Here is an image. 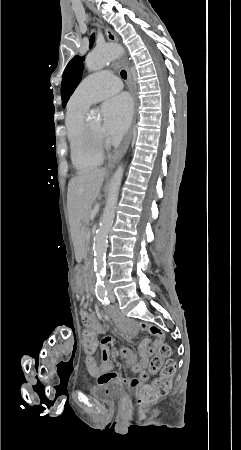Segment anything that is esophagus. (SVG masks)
Here are the masks:
<instances>
[{
	"instance_id": "esophagus-1",
	"label": "esophagus",
	"mask_w": 241,
	"mask_h": 450,
	"mask_svg": "<svg viewBox=\"0 0 241 450\" xmlns=\"http://www.w3.org/2000/svg\"><path fill=\"white\" fill-rule=\"evenodd\" d=\"M105 32H106L107 39L109 41H117V37L114 35L112 30H110L109 28H106ZM123 65L127 71L129 88H130V91L132 93V98H133V104H134V106H133V121H132V125L129 128L128 135L126 136L123 144L121 145L119 150L115 153L114 157L108 163V165L106 167L108 169H111L112 167H114L117 160H119L124 155V153L127 151L128 147L130 145L131 139H132L133 127L136 123V117H137L138 102H137L136 90H135L133 79H132V74H131L128 64L123 63Z\"/></svg>"
}]
</instances>
